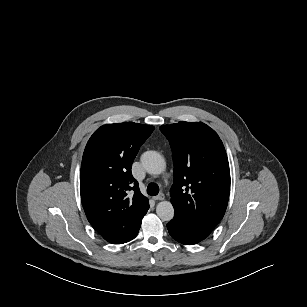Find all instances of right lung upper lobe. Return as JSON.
I'll return each instance as SVG.
<instances>
[{"mask_svg": "<svg viewBox=\"0 0 307 307\" xmlns=\"http://www.w3.org/2000/svg\"><path fill=\"white\" fill-rule=\"evenodd\" d=\"M153 130L133 122L106 124L85 147L80 172L83 208L90 224L110 243L134 239L149 209L131 166Z\"/></svg>", "mask_w": 307, "mask_h": 307, "instance_id": "cb5924a9", "label": "right lung upper lobe"}]
</instances>
